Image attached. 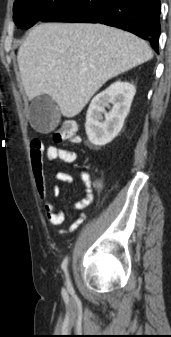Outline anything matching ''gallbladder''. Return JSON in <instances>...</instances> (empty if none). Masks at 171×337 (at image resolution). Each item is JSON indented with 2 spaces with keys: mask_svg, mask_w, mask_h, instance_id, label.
<instances>
[{
  "mask_svg": "<svg viewBox=\"0 0 171 337\" xmlns=\"http://www.w3.org/2000/svg\"><path fill=\"white\" fill-rule=\"evenodd\" d=\"M56 102L48 95L36 97L30 106V123L37 131L50 132L60 120Z\"/></svg>",
  "mask_w": 171,
  "mask_h": 337,
  "instance_id": "1",
  "label": "gallbladder"
}]
</instances>
